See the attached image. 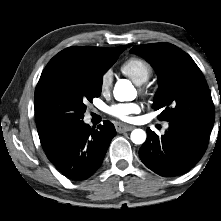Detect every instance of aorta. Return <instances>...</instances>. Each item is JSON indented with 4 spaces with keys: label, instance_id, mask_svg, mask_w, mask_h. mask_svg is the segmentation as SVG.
Listing matches in <instances>:
<instances>
[{
    "label": "aorta",
    "instance_id": "obj_1",
    "mask_svg": "<svg viewBox=\"0 0 221 221\" xmlns=\"http://www.w3.org/2000/svg\"><path fill=\"white\" fill-rule=\"evenodd\" d=\"M113 94L118 101H131L136 96V90L129 80L120 79L115 84ZM130 137L133 143L143 144L146 140V133L142 129H134Z\"/></svg>",
    "mask_w": 221,
    "mask_h": 221
}]
</instances>
